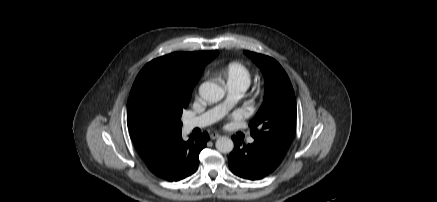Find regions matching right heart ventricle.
Instances as JSON below:
<instances>
[{
  "instance_id": "e07e8e85",
  "label": "right heart ventricle",
  "mask_w": 437,
  "mask_h": 202,
  "mask_svg": "<svg viewBox=\"0 0 437 202\" xmlns=\"http://www.w3.org/2000/svg\"><path fill=\"white\" fill-rule=\"evenodd\" d=\"M229 86L248 87L251 82L249 69L241 62L233 61L227 64L221 71Z\"/></svg>"
}]
</instances>
